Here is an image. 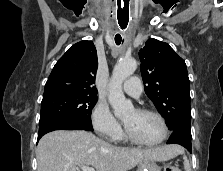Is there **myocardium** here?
<instances>
[{
    "label": "myocardium",
    "instance_id": "myocardium-1",
    "mask_svg": "<svg viewBox=\"0 0 223 171\" xmlns=\"http://www.w3.org/2000/svg\"><path fill=\"white\" fill-rule=\"evenodd\" d=\"M135 111L138 113H141V114H150V115L155 116L160 121V123L162 125L163 133H162L161 138L158 141L153 142V143H146V142L138 140L124 125V135H125L126 139L129 140L133 144H136L139 146H144V147H155V146H158L161 143H163L169 134L168 124H167L165 118L163 117V115L156 110L146 108V107L136 108Z\"/></svg>",
    "mask_w": 223,
    "mask_h": 171
}]
</instances>
